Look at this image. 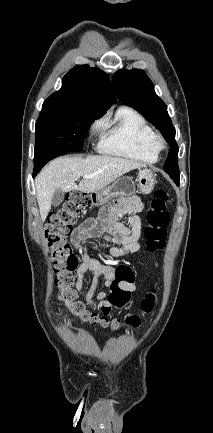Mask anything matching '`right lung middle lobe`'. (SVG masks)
<instances>
[{"label": "right lung middle lobe", "mask_w": 213, "mask_h": 433, "mask_svg": "<svg viewBox=\"0 0 213 433\" xmlns=\"http://www.w3.org/2000/svg\"><path fill=\"white\" fill-rule=\"evenodd\" d=\"M95 119L82 109L43 104L35 125V154L48 149L80 151L86 131Z\"/></svg>", "instance_id": "obj_1"}]
</instances>
